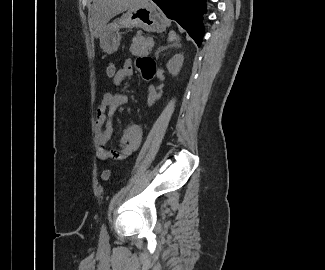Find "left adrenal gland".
<instances>
[{
  "label": "left adrenal gland",
  "mask_w": 325,
  "mask_h": 270,
  "mask_svg": "<svg viewBox=\"0 0 325 270\" xmlns=\"http://www.w3.org/2000/svg\"><path fill=\"white\" fill-rule=\"evenodd\" d=\"M177 40H178V39H177ZM168 47L179 48V47H181V44L178 43V41H176L173 45L168 46ZM168 47H160V48L156 51V53H155L156 58H158L159 53H160L161 51H164L165 49H168Z\"/></svg>",
  "instance_id": "left-adrenal-gland-1"
}]
</instances>
